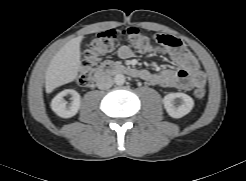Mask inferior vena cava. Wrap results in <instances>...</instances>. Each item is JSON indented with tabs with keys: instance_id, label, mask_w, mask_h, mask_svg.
<instances>
[{
	"instance_id": "1",
	"label": "inferior vena cava",
	"mask_w": 246,
	"mask_h": 181,
	"mask_svg": "<svg viewBox=\"0 0 246 181\" xmlns=\"http://www.w3.org/2000/svg\"><path fill=\"white\" fill-rule=\"evenodd\" d=\"M97 87L102 90H106L112 87L113 80L109 75H102L97 79Z\"/></svg>"
}]
</instances>
